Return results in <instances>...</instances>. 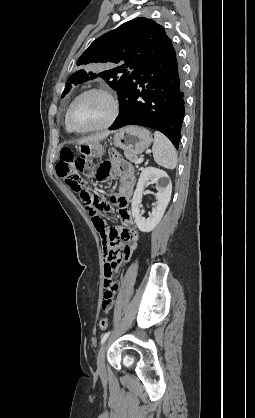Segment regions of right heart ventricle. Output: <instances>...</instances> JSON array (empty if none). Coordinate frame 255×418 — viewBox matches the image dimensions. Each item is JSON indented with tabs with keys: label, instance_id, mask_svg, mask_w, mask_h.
<instances>
[{
	"label": "right heart ventricle",
	"instance_id": "obj_1",
	"mask_svg": "<svg viewBox=\"0 0 255 418\" xmlns=\"http://www.w3.org/2000/svg\"><path fill=\"white\" fill-rule=\"evenodd\" d=\"M65 128H66V130H67L68 132H72V131L68 128V126H67V124H66V120H65Z\"/></svg>",
	"mask_w": 255,
	"mask_h": 418
}]
</instances>
